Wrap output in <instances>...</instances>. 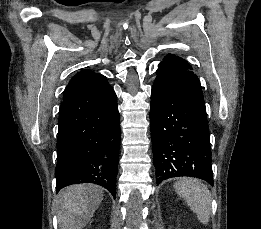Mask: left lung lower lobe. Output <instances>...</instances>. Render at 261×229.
<instances>
[{
    "label": "left lung lower lobe",
    "mask_w": 261,
    "mask_h": 229,
    "mask_svg": "<svg viewBox=\"0 0 261 229\" xmlns=\"http://www.w3.org/2000/svg\"><path fill=\"white\" fill-rule=\"evenodd\" d=\"M150 124L156 178L197 177L214 184L200 81L190 69L159 63Z\"/></svg>",
    "instance_id": "left-lung-lower-lobe-1"
}]
</instances>
